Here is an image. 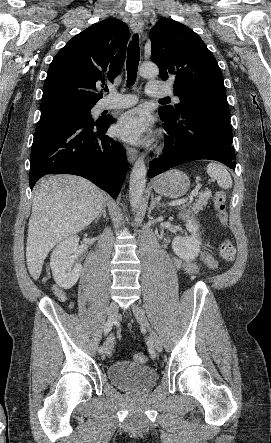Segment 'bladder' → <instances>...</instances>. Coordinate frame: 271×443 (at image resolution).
Wrapping results in <instances>:
<instances>
[{
    "instance_id": "bladder-1",
    "label": "bladder",
    "mask_w": 271,
    "mask_h": 443,
    "mask_svg": "<svg viewBox=\"0 0 271 443\" xmlns=\"http://www.w3.org/2000/svg\"><path fill=\"white\" fill-rule=\"evenodd\" d=\"M107 374L113 385L130 392L144 391L157 380V373L152 367L125 360L112 363Z\"/></svg>"
}]
</instances>
